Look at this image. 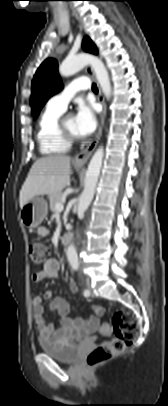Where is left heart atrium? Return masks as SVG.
I'll return each instance as SVG.
<instances>
[{
  "label": "left heart atrium",
  "mask_w": 168,
  "mask_h": 406,
  "mask_svg": "<svg viewBox=\"0 0 168 406\" xmlns=\"http://www.w3.org/2000/svg\"><path fill=\"white\" fill-rule=\"evenodd\" d=\"M75 128L78 136L91 135L97 126L96 115L89 105L80 104L74 117Z\"/></svg>",
  "instance_id": "obj_1"
}]
</instances>
